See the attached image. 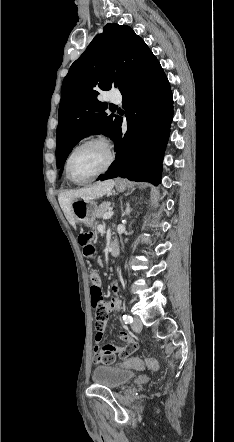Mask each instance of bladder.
<instances>
[{
	"instance_id": "bladder-1",
	"label": "bladder",
	"mask_w": 234,
	"mask_h": 442,
	"mask_svg": "<svg viewBox=\"0 0 234 442\" xmlns=\"http://www.w3.org/2000/svg\"><path fill=\"white\" fill-rule=\"evenodd\" d=\"M134 376V371L129 368L102 365L93 370L92 380L97 385L118 388L128 383Z\"/></svg>"
}]
</instances>
